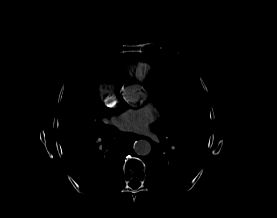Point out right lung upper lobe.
<instances>
[{
    "instance_id": "right-lung-upper-lobe-1",
    "label": "right lung upper lobe",
    "mask_w": 277,
    "mask_h": 218,
    "mask_svg": "<svg viewBox=\"0 0 277 218\" xmlns=\"http://www.w3.org/2000/svg\"><path fill=\"white\" fill-rule=\"evenodd\" d=\"M118 55H114V54H109V53H97V54H90L87 57H85L84 59L88 60V59H93V60H107V61H112L113 59L117 58Z\"/></svg>"
}]
</instances>
